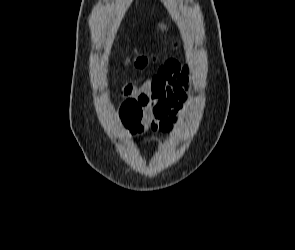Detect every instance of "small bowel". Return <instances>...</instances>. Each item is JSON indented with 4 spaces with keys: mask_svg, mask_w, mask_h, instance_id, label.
Segmentation results:
<instances>
[{
    "mask_svg": "<svg viewBox=\"0 0 295 250\" xmlns=\"http://www.w3.org/2000/svg\"><path fill=\"white\" fill-rule=\"evenodd\" d=\"M189 92L188 66H182L175 59L164 62L157 74L146 82L125 85L122 96L137 100L143 109L141 123L130 128L129 133L140 135L147 131H175Z\"/></svg>",
    "mask_w": 295,
    "mask_h": 250,
    "instance_id": "obj_1",
    "label": "small bowel"
}]
</instances>
